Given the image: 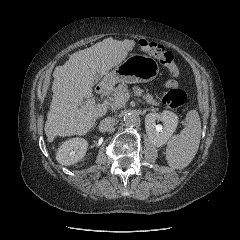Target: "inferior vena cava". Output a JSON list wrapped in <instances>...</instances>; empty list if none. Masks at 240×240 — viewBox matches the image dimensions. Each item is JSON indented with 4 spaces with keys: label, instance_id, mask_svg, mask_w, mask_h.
Instances as JSON below:
<instances>
[{
    "label": "inferior vena cava",
    "instance_id": "inferior-vena-cava-1",
    "mask_svg": "<svg viewBox=\"0 0 240 240\" xmlns=\"http://www.w3.org/2000/svg\"><path fill=\"white\" fill-rule=\"evenodd\" d=\"M115 123H116V120L114 118L107 117L100 122L99 131L100 132L111 131Z\"/></svg>",
    "mask_w": 240,
    "mask_h": 240
}]
</instances>
